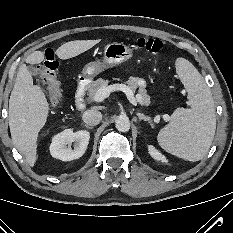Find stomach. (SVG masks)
I'll return each instance as SVG.
<instances>
[{
	"label": "stomach",
	"instance_id": "0dacf381",
	"mask_svg": "<svg viewBox=\"0 0 233 233\" xmlns=\"http://www.w3.org/2000/svg\"><path fill=\"white\" fill-rule=\"evenodd\" d=\"M133 55V49L126 44L122 42L109 43L104 47L102 60L86 64L81 76L83 79L90 81L106 69L128 61Z\"/></svg>",
	"mask_w": 233,
	"mask_h": 233
}]
</instances>
